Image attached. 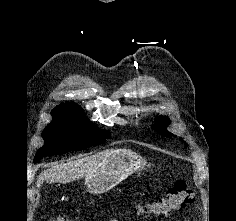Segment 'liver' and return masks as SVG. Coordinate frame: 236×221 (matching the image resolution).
I'll return each mask as SVG.
<instances>
[{
    "mask_svg": "<svg viewBox=\"0 0 236 221\" xmlns=\"http://www.w3.org/2000/svg\"><path fill=\"white\" fill-rule=\"evenodd\" d=\"M114 151L104 150L91 156L54 164L38 176L36 185L40 187L44 181L48 183H68L78 180L95 171L101 162Z\"/></svg>",
    "mask_w": 236,
    "mask_h": 221,
    "instance_id": "obj_1",
    "label": "liver"
}]
</instances>
